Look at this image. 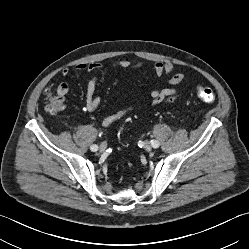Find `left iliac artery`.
I'll list each match as a JSON object with an SVG mask.
<instances>
[{"instance_id": "left-iliac-artery-1", "label": "left iliac artery", "mask_w": 249, "mask_h": 249, "mask_svg": "<svg viewBox=\"0 0 249 249\" xmlns=\"http://www.w3.org/2000/svg\"><path fill=\"white\" fill-rule=\"evenodd\" d=\"M151 145L154 147V148H158L159 147V142L157 140H151Z\"/></svg>"}]
</instances>
